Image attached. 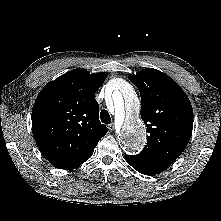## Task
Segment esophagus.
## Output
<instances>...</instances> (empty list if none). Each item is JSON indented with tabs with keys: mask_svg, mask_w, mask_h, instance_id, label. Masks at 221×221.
Masks as SVG:
<instances>
[{
	"mask_svg": "<svg viewBox=\"0 0 221 221\" xmlns=\"http://www.w3.org/2000/svg\"><path fill=\"white\" fill-rule=\"evenodd\" d=\"M108 129H109V131H114V129H115V126H114V124L113 123H111V124H109L108 125Z\"/></svg>",
	"mask_w": 221,
	"mask_h": 221,
	"instance_id": "esophagus-1",
	"label": "esophagus"
}]
</instances>
